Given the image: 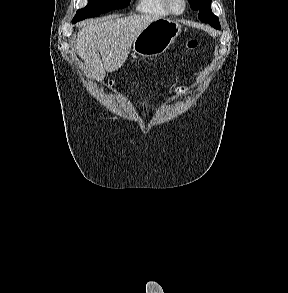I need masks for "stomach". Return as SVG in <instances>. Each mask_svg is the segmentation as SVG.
Masks as SVG:
<instances>
[{"label": "stomach", "mask_w": 288, "mask_h": 293, "mask_svg": "<svg viewBox=\"0 0 288 293\" xmlns=\"http://www.w3.org/2000/svg\"><path fill=\"white\" fill-rule=\"evenodd\" d=\"M181 25L168 18L149 23L134 39L135 55L154 57L164 53L181 32Z\"/></svg>", "instance_id": "obj_1"}]
</instances>
